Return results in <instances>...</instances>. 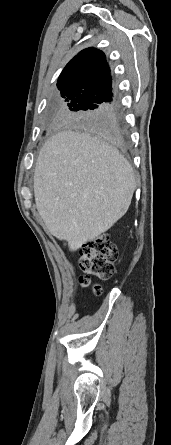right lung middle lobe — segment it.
I'll use <instances>...</instances> for the list:
<instances>
[{
	"instance_id": "1",
	"label": "right lung middle lobe",
	"mask_w": 171,
	"mask_h": 445,
	"mask_svg": "<svg viewBox=\"0 0 171 445\" xmlns=\"http://www.w3.org/2000/svg\"><path fill=\"white\" fill-rule=\"evenodd\" d=\"M61 97L64 99L57 112L59 121L76 124L105 137L99 118L110 103L85 93L61 92Z\"/></svg>"
}]
</instances>
